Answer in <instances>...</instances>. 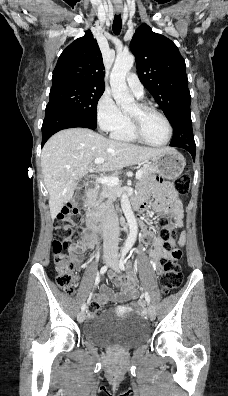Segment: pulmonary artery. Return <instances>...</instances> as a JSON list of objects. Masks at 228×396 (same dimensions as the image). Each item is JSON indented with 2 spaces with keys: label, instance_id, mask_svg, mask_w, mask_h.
<instances>
[{
  "label": "pulmonary artery",
  "instance_id": "obj_1",
  "mask_svg": "<svg viewBox=\"0 0 228 396\" xmlns=\"http://www.w3.org/2000/svg\"><path fill=\"white\" fill-rule=\"evenodd\" d=\"M126 82L129 89L133 92V94L138 97L142 98L144 95V87L140 82L138 76L135 73H130L126 77Z\"/></svg>",
  "mask_w": 228,
  "mask_h": 396
}]
</instances>
